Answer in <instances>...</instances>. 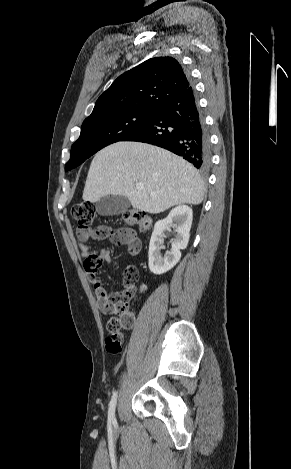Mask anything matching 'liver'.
I'll list each match as a JSON object with an SVG mask.
<instances>
[{"label":"liver","instance_id":"liver-1","mask_svg":"<svg viewBox=\"0 0 291 469\" xmlns=\"http://www.w3.org/2000/svg\"><path fill=\"white\" fill-rule=\"evenodd\" d=\"M137 184H143V190H137ZM204 194L200 174L181 157L150 144L120 141L95 155L82 197L97 202L121 195L134 209L157 214L175 205H199Z\"/></svg>","mask_w":291,"mask_h":469}]
</instances>
